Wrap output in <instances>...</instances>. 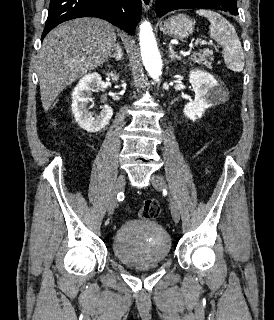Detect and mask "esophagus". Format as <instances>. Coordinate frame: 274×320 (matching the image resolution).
<instances>
[{"mask_svg": "<svg viewBox=\"0 0 274 320\" xmlns=\"http://www.w3.org/2000/svg\"><path fill=\"white\" fill-rule=\"evenodd\" d=\"M141 2L145 11H148L152 6L153 0H141Z\"/></svg>", "mask_w": 274, "mask_h": 320, "instance_id": "obj_1", "label": "esophagus"}]
</instances>
